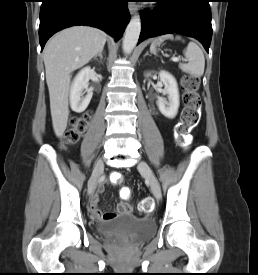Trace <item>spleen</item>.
Listing matches in <instances>:
<instances>
[{
    "instance_id": "1",
    "label": "spleen",
    "mask_w": 258,
    "mask_h": 275,
    "mask_svg": "<svg viewBox=\"0 0 258 275\" xmlns=\"http://www.w3.org/2000/svg\"><path fill=\"white\" fill-rule=\"evenodd\" d=\"M164 38L173 39V35H165ZM176 39L180 40L181 37L177 36ZM157 41L155 40L151 46L150 51L155 53ZM184 55L188 63L180 64L179 67L183 72L189 73L195 77H200L204 73L205 58L201 48L194 42H189L184 51Z\"/></svg>"
}]
</instances>
